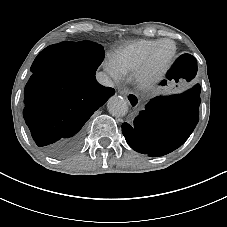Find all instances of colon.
I'll return each mask as SVG.
<instances>
[{
	"mask_svg": "<svg viewBox=\"0 0 227 227\" xmlns=\"http://www.w3.org/2000/svg\"><path fill=\"white\" fill-rule=\"evenodd\" d=\"M196 69L195 59L189 54H182L172 66L168 80L188 81Z\"/></svg>",
	"mask_w": 227,
	"mask_h": 227,
	"instance_id": "colon-1",
	"label": "colon"
}]
</instances>
